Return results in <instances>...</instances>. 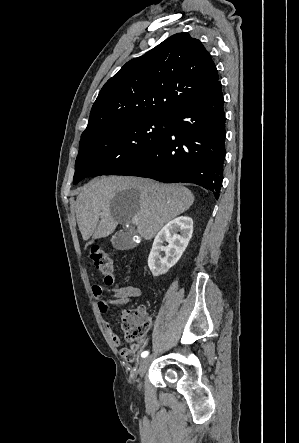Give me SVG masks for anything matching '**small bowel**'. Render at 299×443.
<instances>
[{
  "instance_id": "c3829d8e",
  "label": "small bowel",
  "mask_w": 299,
  "mask_h": 443,
  "mask_svg": "<svg viewBox=\"0 0 299 443\" xmlns=\"http://www.w3.org/2000/svg\"><path fill=\"white\" fill-rule=\"evenodd\" d=\"M113 296L111 298H105L104 287L102 285L93 286V295L98 301L99 311L105 314L110 308L121 307L131 303L134 299L141 296V289L135 285L115 286L112 288ZM106 330L112 343L116 347H120L121 341L117 333L112 329L108 321L105 322ZM144 343H137L131 345L127 350L129 355L123 357L126 361H133L135 354L142 349Z\"/></svg>"
}]
</instances>
